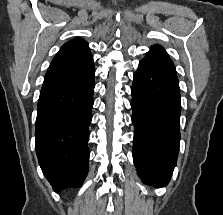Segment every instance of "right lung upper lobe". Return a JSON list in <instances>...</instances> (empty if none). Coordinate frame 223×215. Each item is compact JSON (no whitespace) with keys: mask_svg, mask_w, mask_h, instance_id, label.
<instances>
[{"mask_svg":"<svg viewBox=\"0 0 223 215\" xmlns=\"http://www.w3.org/2000/svg\"><path fill=\"white\" fill-rule=\"evenodd\" d=\"M93 67V57L88 43L79 38L70 40L53 58L46 72L42 88L78 79Z\"/></svg>","mask_w":223,"mask_h":215,"instance_id":"cb5924a9","label":"right lung upper lobe"}]
</instances>
